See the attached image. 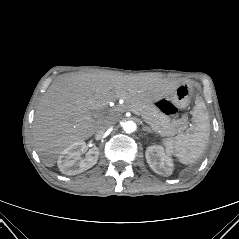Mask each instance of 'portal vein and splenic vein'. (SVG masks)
<instances>
[{
    "label": "portal vein and splenic vein",
    "instance_id": "portal-vein-and-splenic-vein-1",
    "mask_svg": "<svg viewBox=\"0 0 239 239\" xmlns=\"http://www.w3.org/2000/svg\"><path fill=\"white\" fill-rule=\"evenodd\" d=\"M132 111V110H131ZM133 112V111H132ZM134 114H136V115H140L139 113H137V112H134Z\"/></svg>",
    "mask_w": 239,
    "mask_h": 239
}]
</instances>
